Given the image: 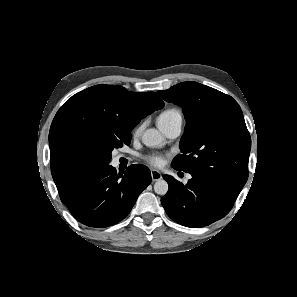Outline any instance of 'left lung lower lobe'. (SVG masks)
<instances>
[{"label":"left lung lower lobe","mask_w":297,"mask_h":297,"mask_svg":"<svg viewBox=\"0 0 297 297\" xmlns=\"http://www.w3.org/2000/svg\"><path fill=\"white\" fill-rule=\"evenodd\" d=\"M164 179L169 190L161 203L171 219L186 227L200 228L223 218L237 198L222 186L194 176L186 185L168 175Z\"/></svg>","instance_id":"obj_1"}]
</instances>
